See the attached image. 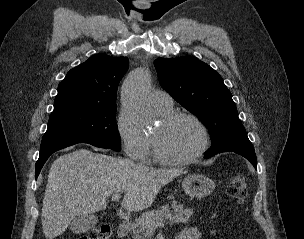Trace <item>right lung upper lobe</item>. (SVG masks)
<instances>
[{"label": "right lung upper lobe", "mask_w": 304, "mask_h": 239, "mask_svg": "<svg viewBox=\"0 0 304 239\" xmlns=\"http://www.w3.org/2000/svg\"><path fill=\"white\" fill-rule=\"evenodd\" d=\"M128 66L127 57L92 56L71 69L61 81L53 112L116 105L117 88Z\"/></svg>", "instance_id": "cb5924a9"}]
</instances>
